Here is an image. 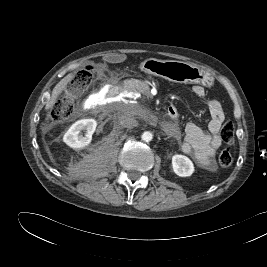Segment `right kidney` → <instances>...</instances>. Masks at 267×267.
<instances>
[{
	"mask_svg": "<svg viewBox=\"0 0 267 267\" xmlns=\"http://www.w3.org/2000/svg\"><path fill=\"white\" fill-rule=\"evenodd\" d=\"M95 119H81L76 121L63 136V141L71 148H83L91 143L92 135L96 130ZM86 130L85 136L80 135Z\"/></svg>",
	"mask_w": 267,
	"mask_h": 267,
	"instance_id": "obj_1",
	"label": "right kidney"
}]
</instances>
